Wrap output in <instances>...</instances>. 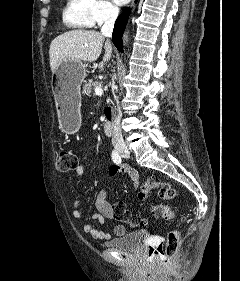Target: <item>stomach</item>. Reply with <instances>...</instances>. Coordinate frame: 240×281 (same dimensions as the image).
<instances>
[{
    "label": "stomach",
    "instance_id": "stomach-1",
    "mask_svg": "<svg viewBox=\"0 0 240 281\" xmlns=\"http://www.w3.org/2000/svg\"><path fill=\"white\" fill-rule=\"evenodd\" d=\"M86 77V65L82 61L63 62L53 73L51 86L62 130L75 133L81 126L80 87Z\"/></svg>",
    "mask_w": 240,
    "mask_h": 281
}]
</instances>
